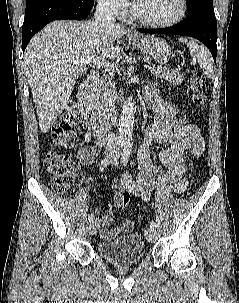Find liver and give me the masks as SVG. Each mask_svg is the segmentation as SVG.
<instances>
[{
  "instance_id": "liver-1",
  "label": "liver",
  "mask_w": 239,
  "mask_h": 303,
  "mask_svg": "<svg viewBox=\"0 0 239 303\" xmlns=\"http://www.w3.org/2000/svg\"><path fill=\"white\" fill-rule=\"evenodd\" d=\"M129 30L120 24L95 21H54L37 33L24 53L28 78L42 133L61 113L77 79L87 69L80 59L114 58V42Z\"/></svg>"
}]
</instances>
